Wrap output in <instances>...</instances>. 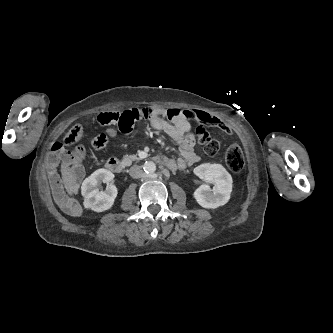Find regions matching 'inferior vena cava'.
<instances>
[{
	"label": "inferior vena cava",
	"mask_w": 333,
	"mask_h": 333,
	"mask_svg": "<svg viewBox=\"0 0 333 333\" xmlns=\"http://www.w3.org/2000/svg\"><path fill=\"white\" fill-rule=\"evenodd\" d=\"M142 169L140 166L138 165H134L130 168L129 170V174L132 178H138L142 175Z\"/></svg>",
	"instance_id": "602c4592"
}]
</instances>
